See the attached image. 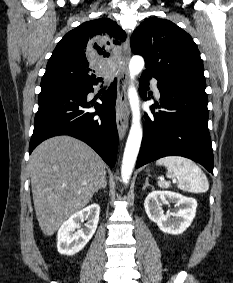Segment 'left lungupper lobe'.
<instances>
[{
  "mask_svg": "<svg viewBox=\"0 0 233 283\" xmlns=\"http://www.w3.org/2000/svg\"><path fill=\"white\" fill-rule=\"evenodd\" d=\"M131 50L144 57L147 73L157 80L206 86L204 66L191 36L169 20L148 18L131 36Z\"/></svg>",
  "mask_w": 233,
  "mask_h": 283,
  "instance_id": "left-lung-upper-lobe-1",
  "label": "left lung upper lobe"
}]
</instances>
